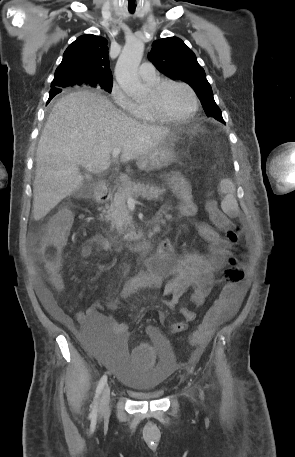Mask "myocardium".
Here are the masks:
<instances>
[{
	"mask_svg": "<svg viewBox=\"0 0 295 457\" xmlns=\"http://www.w3.org/2000/svg\"><path fill=\"white\" fill-rule=\"evenodd\" d=\"M169 85H177L184 87L188 92L190 93L193 101V105L191 110L184 116L181 117H168L165 116L161 110L159 109L158 105L153 102V103H147L146 106L149 110V112L152 114V116L159 122L163 123H181L184 121H187L194 117L196 113L199 110V98L195 92V90L187 83L183 81H178V80H172V79H163L160 80L159 82L155 83L152 86V91L155 93V95H159L167 86Z\"/></svg>",
	"mask_w": 295,
	"mask_h": 457,
	"instance_id": "1",
	"label": "myocardium"
}]
</instances>
